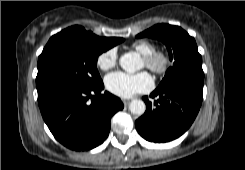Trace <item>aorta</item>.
Returning a JSON list of instances; mask_svg holds the SVG:
<instances>
[{
	"mask_svg": "<svg viewBox=\"0 0 245 170\" xmlns=\"http://www.w3.org/2000/svg\"><path fill=\"white\" fill-rule=\"evenodd\" d=\"M140 57L134 52L125 53L120 57L119 63L123 70L133 73L138 69ZM129 110L136 115H143L146 110V105L142 100L134 99L129 104Z\"/></svg>",
	"mask_w": 245,
	"mask_h": 170,
	"instance_id": "1",
	"label": "aorta"
}]
</instances>
